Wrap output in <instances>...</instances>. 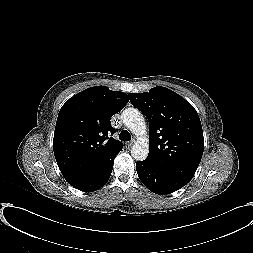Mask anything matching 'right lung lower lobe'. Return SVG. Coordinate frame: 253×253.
I'll return each instance as SVG.
<instances>
[{
  "mask_svg": "<svg viewBox=\"0 0 253 253\" xmlns=\"http://www.w3.org/2000/svg\"><path fill=\"white\" fill-rule=\"evenodd\" d=\"M113 161L114 159H112L111 162L104 169L94 174L93 176L73 182L71 183V185L76 189L85 192H92L98 190L109 180L113 169Z\"/></svg>",
  "mask_w": 253,
  "mask_h": 253,
  "instance_id": "98d812e1",
  "label": "right lung lower lobe"
}]
</instances>
